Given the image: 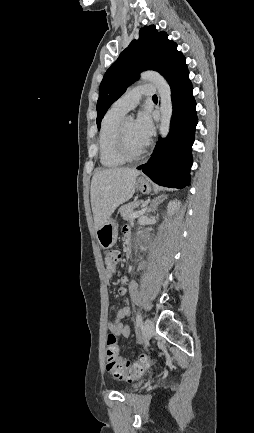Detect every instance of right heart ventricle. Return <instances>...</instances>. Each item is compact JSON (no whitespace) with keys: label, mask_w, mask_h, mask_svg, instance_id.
Returning a JSON list of instances; mask_svg holds the SVG:
<instances>
[{"label":"right heart ventricle","mask_w":254,"mask_h":433,"mask_svg":"<svg viewBox=\"0 0 254 433\" xmlns=\"http://www.w3.org/2000/svg\"><path fill=\"white\" fill-rule=\"evenodd\" d=\"M124 114L110 109L102 119L98 147L100 163L107 168H117L126 163L116 146L117 130Z\"/></svg>","instance_id":"e07e8e85"}]
</instances>
